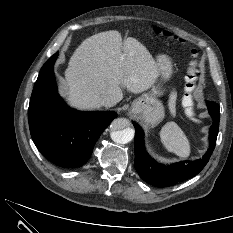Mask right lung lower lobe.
<instances>
[{
    "instance_id": "right-lung-lower-lobe-1",
    "label": "right lung lower lobe",
    "mask_w": 233,
    "mask_h": 233,
    "mask_svg": "<svg viewBox=\"0 0 233 233\" xmlns=\"http://www.w3.org/2000/svg\"><path fill=\"white\" fill-rule=\"evenodd\" d=\"M54 54L43 65L34 85L28 120L34 144L52 163L64 167L82 166L116 112H81L68 107L57 94Z\"/></svg>"
}]
</instances>
